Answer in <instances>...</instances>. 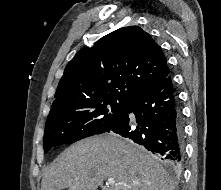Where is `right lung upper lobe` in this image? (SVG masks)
Returning <instances> with one entry per match:
<instances>
[{
	"instance_id": "right-lung-upper-lobe-1",
	"label": "right lung upper lobe",
	"mask_w": 221,
	"mask_h": 190,
	"mask_svg": "<svg viewBox=\"0 0 221 190\" xmlns=\"http://www.w3.org/2000/svg\"><path fill=\"white\" fill-rule=\"evenodd\" d=\"M170 74L153 38L138 26L120 28L81 49L66 66L51 111L102 98L128 100Z\"/></svg>"
}]
</instances>
